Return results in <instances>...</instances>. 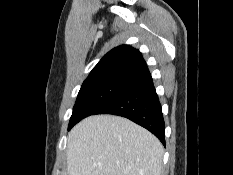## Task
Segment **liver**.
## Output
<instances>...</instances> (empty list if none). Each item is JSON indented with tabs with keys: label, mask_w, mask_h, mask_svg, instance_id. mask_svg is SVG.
I'll return each mask as SVG.
<instances>
[{
	"label": "liver",
	"mask_w": 233,
	"mask_h": 175,
	"mask_svg": "<svg viewBox=\"0 0 233 175\" xmlns=\"http://www.w3.org/2000/svg\"><path fill=\"white\" fill-rule=\"evenodd\" d=\"M164 149L127 118L94 115L68 134V175H161Z\"/></svg>",
	"instance_id": "1"
}]
</instances>
